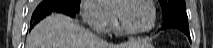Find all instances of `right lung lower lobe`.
<instances>
[{"label":"right lung lower lobe","instance_id":"right-lung-lower-lobe-1","mask_svg":"<svg viewBox=\"0 0 213 48\" xmlns=\"http://www.w3.org/2000/svg\"><path fill=\"white\" fill-rule=\"evenodd\" d=\"M54 12H60L72 17H74V15L77 13L76 10H74L71 6H69L62 0H44L38 5L32 15V26L30 27V30L36 23Z\"/></svg>","mask_w":213,"mask_h":48}]
</instances>
